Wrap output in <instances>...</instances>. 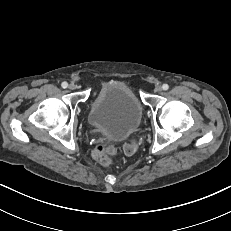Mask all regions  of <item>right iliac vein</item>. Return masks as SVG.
<instances>
[{"label":"right iliac vein","mask_w":231,"mask_h":231,"mask_svg":"<svg viewBox=\"0 0 231 231\" xmlns=\"http://www.w3.org/2000/svg\"><path fill=\"white\" fill-rule=\"evenodd\" d=\"M75 88H76V86L72 83L68 85V89H70V90H74Z\"/></svg>","instance_id":"right-iliac-vein-1"}]
</instances>
